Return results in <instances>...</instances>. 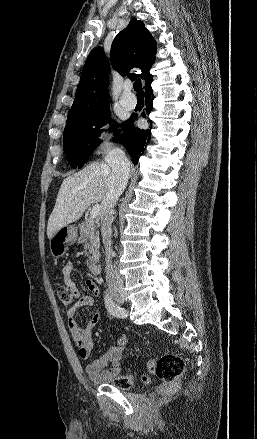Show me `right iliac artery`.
<instances>
[{"instance_id":"obj_1","label":"right iliac artery","mask_w":257,"mask_h":439,"mask_svg":"<svg viewBox=\"0 0 257 439\" xmlns=\"http://www.w3.org/2000/svg\"><path fill=\"white\" fill-rule=\"evenodd\" d=\"M105 304L107 310L112 314L113 316H116L118 318H124L126 317V311L118 306L115 302H113L112 298L109 296V293H106L105 296Z\"/></svg>"}]
</instances>
